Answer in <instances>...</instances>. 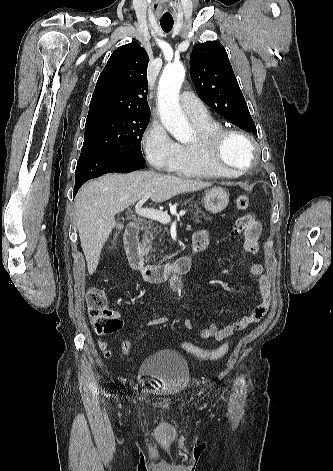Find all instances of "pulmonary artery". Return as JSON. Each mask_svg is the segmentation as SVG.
<instances>
[{
  "mask_svg": "<svg viewBox=\"0 0 333 471\" xmlns=\"http://www.w3.org/2000/svg\"><path fill=\"white\" fill-rule=\"evenodd\" d=\"M180 103L183 111L191 120L202 119L208 115V110L203 102L192 93H182Z\"/></svg>",
  "mask_w": 333,
  "mask_h": 471,
  "instance_id": "pulmonary-artery-1",
  "label": "pulmonary artery"
}]
</instances>
